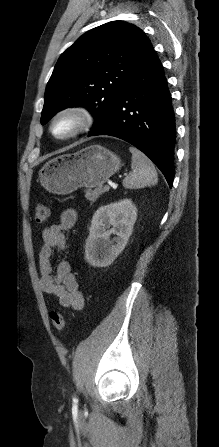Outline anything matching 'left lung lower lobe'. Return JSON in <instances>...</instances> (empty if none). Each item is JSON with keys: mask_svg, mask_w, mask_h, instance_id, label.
<instances>
[{"mask_svg": "<svg viewBox=\"0 0 219 447\" xmlns=\"http://www.w3.org/2000/svg\"><path fill=\"white\" fill-rule=\"evenodd\" d=\"M175 117L160 60L150 43L111 110L90 136L121 138L145 153L172 186Z\"/></svg>", "mask_w": 219, "mask_h": 447, "instance_id": "1", "label": "left lung lower lobe"}]
</instances>
